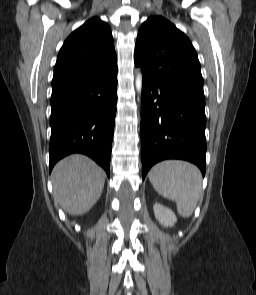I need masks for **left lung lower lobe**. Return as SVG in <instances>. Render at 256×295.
I'll use <instances>...</instances> for the list:
<instances>
[{"label":"left lung lower lobe","mask_w":256,"mask_h":295,"mask_svg":"<svg viewBox=\"0 0 256 295\" xmlns=\"http://www.w3.org/2000/svg\"><path fill=\"white\" fill-rule=\"evenodd\" d=\"M143 73V72H142ZM205 101L161 86L143 73L142 178L157 162L183 159L206 170Z\"/></svg>","instance_id":"1"}]
</instances>
